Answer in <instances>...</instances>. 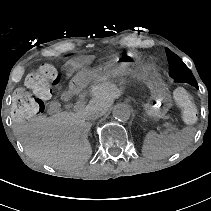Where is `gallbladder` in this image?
Instances as JSON below:
<instances>
[{"label": "gallbladder", "mask_w": 211, "mask_h": 211, "mask_svg": "<svg viewBox=\"0 0 211 211\" xmlns=\"http://www.w3.org/2000/svg\"><path fill=\"white\" fill-rule=\"evenodd\" d=\"M72 98V94L68 93V92H63L61 95V100H63L64 102H68L70 101Z\"/></svg>", "instance_id": "1"}]
</instances>
